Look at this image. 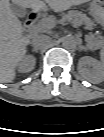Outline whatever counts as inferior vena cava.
Here are the masks:
<instances>
[{
	"label": "inferior vena cava",
	"mask_w": 104,
	"mask_h": 137,
	"mask_svg": "<svg viewBox=\"0 0 104 137\" xmlns=\"http://www.w3.org/2000/svg\"><path fill=\"white\" fill-rule=\"evenodd\" d=\"M49 42L48 37L45 35H35L31 41L32 46L35 49H42Z\"/></svg>",
	"instance_id": "602c4592"
}]
</instances>
